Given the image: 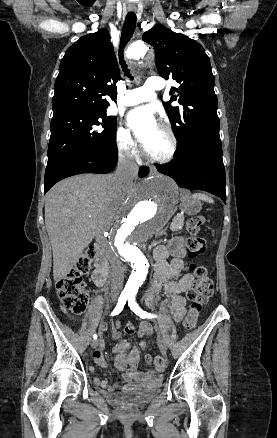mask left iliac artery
Listing matches in <instances>:
<instances>
[{"mask_svg":"<svg viewBox=\"0 0 277 438\" xmlns=\"http://www.w3.org/2000/svg\"><path fill=\"white\" fill-rule=\"evenodd\" d=\"M128 305L130 309L139 317L145 319V318H157L158 316L152 313H147L146 311L142 310L139 305L137 304L135 300V295L131 294L128 296Z\"/></svg>","mask_w":277,"mask_h":438,"instance_id":"44dca946","label":"left iliac artery"}]
</instances>
